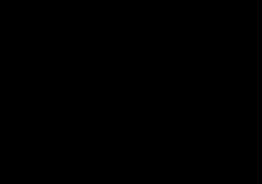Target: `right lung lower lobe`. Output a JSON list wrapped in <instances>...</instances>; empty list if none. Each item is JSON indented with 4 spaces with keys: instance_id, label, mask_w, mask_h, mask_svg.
<instances>
[{
    "instance_id": "right-lung-lower-lobe-1",
    "label": "right lung lower lobe",
    "mask_w": 262,
    "mask_h": 184,
    "mask_svg": "<svg viewBox=\"0 0 262 184\" xmlns=\"http://www.w3.org/2000/svg\"><path fill=\"white\" fill-rule=\"evenodd\" d=\"M81 103L79 97L72 93H60L53 98V119L63 132L65 140L79 145H88L100 141L107 132V126L92 128L82 125L79 118L72 112Z\"/></svg>"
}]
</instances>
